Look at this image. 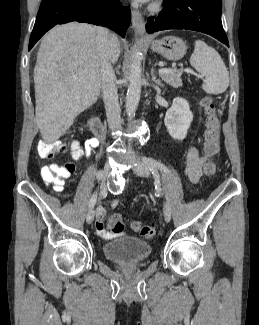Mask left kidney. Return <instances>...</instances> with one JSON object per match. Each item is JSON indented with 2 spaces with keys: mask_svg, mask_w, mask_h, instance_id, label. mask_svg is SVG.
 <instances>
[{
  "mask_svg": "<svg viewBox=\"0 0 259 325\" xmlns=\"http://www.w3.org/2000/svg\"><path fill=\"white\" fill-rule=\"evenodd\" d=\"M193 120L189 103L180 97L173 100L172 106L167 110L164 123L171 135L176 140H183Z\"/></svg>",
  "mask_w": 259,
  "mask_h": 325,
  "instance_id": "1",
  "label": "left kidney"
}]
</instances>
